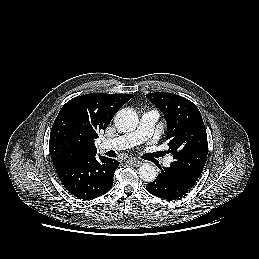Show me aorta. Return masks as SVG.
Segmentation results:
<instances>
[{"mask_svg": "<svg viewBox=\"0 0 259 259\" xmlns=\"http://www.w3.org/2000/svg\"><path fill=\"white\" fill-rule=\"evenodd\" d=\"M115 125L121 132L134 131L138 126V115L130 108H124L117 112L115 119ZM139 177L145 182H153L157 177V170L151 164H143L138 170Z\"/></svg>", "mask_w": 259, "mask_h": 259, "instance_id": "762f6f07", "label": "aorta"}]
</instances>
